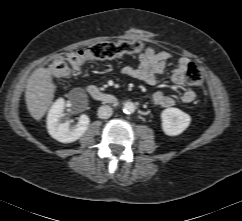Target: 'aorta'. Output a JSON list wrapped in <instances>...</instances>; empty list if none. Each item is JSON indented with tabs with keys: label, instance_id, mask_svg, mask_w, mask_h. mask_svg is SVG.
<instances>
[{
	"label": "aorta",
	"instance_id": "1",
	"mask_svg": "<svg viewBox=\"0 0 242 221\" xmlns=\"http://www.w3.org/2000/svg\"><path fill=\"white\" fill-rule=\"evenodd\" d=\"M136 109V106L133 102L131 101H127L124 103V106H123V112L126 113V114H131L135 111Z\"/></svg>",
	"mask_w": 242,
	"mask_h": 221
}]
</instances>
